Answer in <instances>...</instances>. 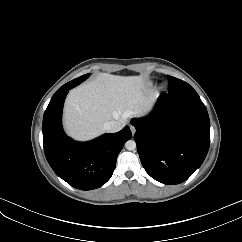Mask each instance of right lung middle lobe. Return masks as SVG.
Instances as JSON below:
<instances>
[{
	"label": "right lung middle lobe",
	"mask_w": 242,
	"mask_h": 242,
	"mask_svg": "<svg viewBox=\"0 0 242 242\" xmlns=\"http://www.w3.org/2000/svg\"><path fill=\"white\" fill-rule=\"evenodd\" d=\"M88 75H89V74H86V75L80 76V77H78V78H76V79H74V80H72V81L66 83V84L63 85L61 88H59V89L57 90V92L60 91L63 87L68 86V85H72V84H74V83H76L75 86H77L78 84H80L81 82H83V81L88 77Z\"/></svg>",
	"instance_id": "obj_1"
}]
</instances>
